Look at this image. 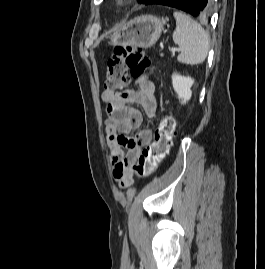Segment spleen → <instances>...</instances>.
<instances>
[{
  "label": "spleen",
  "mask_w": 265,
  "mask_h": 269,
  "mask_svg": "<svg viewBox=\"0 0 265 269\" xmlns=\"http://www.w3.org/2000/svg\"><path fill=\"white\" fill-rule=\"evenodd\" d=\"M176 29L173 32V41L181 53L177 60L188 65L203 63L209 51V36L202 26L189 15L175 11Z\"/></svg>",
  "instance_id": "spleen-1"
}]
</instances>
